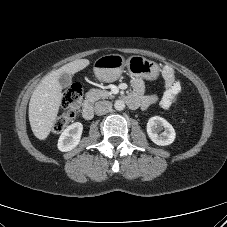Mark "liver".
<instances>
[{
  "instance_id": "1",
  "label": "liver",
  "mask_w": 227,
  "mask_h": 227,
  "mask_svg": "<svg viewBox=\"0 0 227 227\" xmlns=\"http://www.w3.org/2000/svg\"><path fill=\"white\" fill-rule=\"evenodd\" d=\"M89 64L88 59L72 61L47 74L38 84L29 102V122L38 139H46L55 123L62 99L60 74H75Z\"/></svg>"
}]
</instances>
